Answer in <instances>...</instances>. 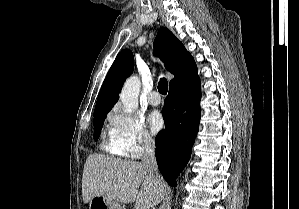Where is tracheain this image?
Here are the masks:
<instances>
[{
	"instance_id": "obj_1",
	"label": "trachea",
	"mask_w": 299,
	"mask_h": 209,
	"mask_svg": "<svg viewBox=\"0 0 299 209\" xmlns=\"http://www.w3.org/2000/svg\"><path fill=\"white\" fill-rule=\"evenodd\" d=\"M158 91L163 94L166 95L167 91H168V82L166 78H161L159 83H158Z\"/></svg>"
}]
</instances>
